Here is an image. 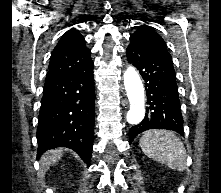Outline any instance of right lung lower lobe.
Returning <instances> with one entry per match:
<instances>
[{"instance_id": "98d812e1", "label": "right lung lower lobe", "mask_w": 221, "mask_h": 193, "mask_svg": "<svg viewBox=\"0 0 221 193\" xmlns=\"http://www.w3.org/2000/svg\"><path fill=\"white\" fill-rule=\"evenodd\" d=\"M95 91L93 61L82 70L47 79L38 117V157L67 147L90 164L94 138Z\"/></svg>"}]
</instances>
